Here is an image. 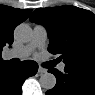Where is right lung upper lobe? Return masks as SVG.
I'll return each mask as SVG.
<instances>
[{"instance_id": "right-lung-upper-lobe-1", "label": "right lung upper lobe", "mask_w": 95, "mask_h": 95, "mask_svg": "<svg viewBox=\"0 0 95 95\" xmlns=\"http://www.w3.org/2000/svg\"><path fill=\"white\" fill-rule=\"evenodd\" d=\"M29 9H18L5 5H0V66L8 61L2 60L1 51L5 45L13 43V31L21 22L30 15Z\"/></svg>"}]
</instances>
